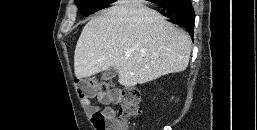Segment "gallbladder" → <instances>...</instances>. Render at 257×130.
<instances>
[{
  "label": "gallbladder",
  "instance_id": "obj_1",
  "mask_svg": "<svg viewBox=\"0 0 257 130\" xmlns=\"http://www.w3.org/2000/svg\"><path fill=\"white\" fill-rule=\"evenodd\" d=\"M117 74H118V71L115 68L110 67L106 71H104V73L102 74L101 79L105 80V81H108V80H111L114 77H116Z\"/></svg>",
  "mask_w": 257,
  "mask_h": 130
}]
</instances>
